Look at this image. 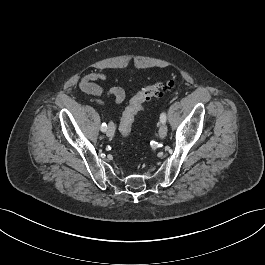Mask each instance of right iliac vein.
Segmentation results:
<instances>
[{"label":"right iliac vein","mask_w":265,"mask_h":265,"mask_svg":"<svg viewBox=\"0 0 265 265\" xmlns=\"http://www.w3.org/2000/svg\"><path fill=\"white\" fill-rule=\"evenodd\" d=\"M115 133V127L113 125V123H109L107 130H106V135L108 137H112Z\"/></svg>","instance_id":"obj_1"}]
</instances>
